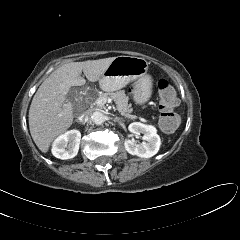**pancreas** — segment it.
<instances>
[{
	"label": "pancreas",
	"instance_id": "cf45deb5",
	"mask_svg": "<svg viewBox=\"0 0 240 240\" xmlns=\"http://www.w3.org/2000/svg\"><path fill=\"white\" fill-rule=\"evenodd\" d=\"M99 97H104L106 99H112L116 103V107L119 113L128 119H135L136 117L131 114V108L128 105V97L125 94V91H117V92H108V93H97L92 97H89V101L92 103Z\"/></svg>",
	"mask_w": 240,
	"mask_h": 240
}]
</instances>
